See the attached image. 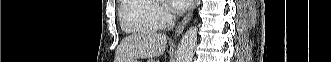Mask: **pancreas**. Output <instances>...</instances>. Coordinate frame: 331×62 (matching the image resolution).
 I'll use <instances>...</instances> for the list:
<instances>
[{
	"label": "pancreas",
	"mask_w": 331,
	"mask_h": 62,
	"mask_svg": "<svg viewBox=\"0 0 331 62\" xmlns=\"http://www.w3.org/2000/svg\"><path fill=\"white\" fill-rule=\"evenodd\" d=\"M148 62H154V60H148Z\"/></svg>",
	"instance_id": "1"
}]
</instances>
